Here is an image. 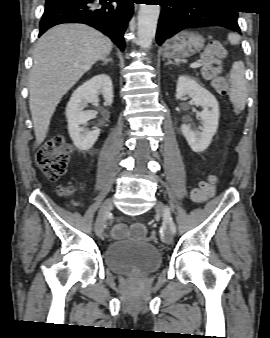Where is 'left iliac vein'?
<instances>
[{
    "label": "left iliac vein",
    "instance_id": "4c4485c4",
    "mask_svg": "<svg viewBox=\"0 0 270 338\" xmlns=\"http://www.w3.org/2000/svg\"><path fill=\"white\" fill-rule=\"evenodd\" d=\"M155 211L158 215L164 216L165 214V206L162 202L158 201L155 206ZM174 240V234L171 230L170 226H168L164 233V242L168 245L172 244Z\"/></svg>",
    "mask_w": 270,
    "mask_h": 338
}]
</instances>
